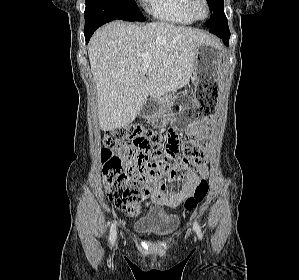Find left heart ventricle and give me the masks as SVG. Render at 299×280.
I'll return each mask as SVG.
<instances>
[{
    "label": "left heart ventricle",
    "instance_id": "obj_1",
    "mask_svg": "<svg viewBox=\"0 0 299 280\" xmlns=\"http://www.w3.org/2000/svg\"><path fill=\"white\" fill-rule=\"evenodd\" d=\"M196 11L199 16H203L205 14V8L201 3L197 4Z\"/></svg>",
    "mask_w": 299,
    "mask_h": 280
}]
</instances>
